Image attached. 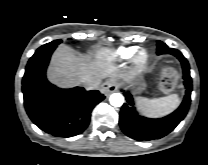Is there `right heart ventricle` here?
I'll return each instance as SVG.
<instances>
[{"label":"right heart ventricle","instance_id":"obj_1","mask_svg":"<svg viewBox=\"0 0 208 165\" xmlns=\"http://www.w3.org/2000/svg\"><path fill=\"white\" fill-rule=\"evenodd\" d=\"M135 49H119L116 51V55L120 58H127L135 53Z\"/></svg>","mask_w":208,"mask_h":165}]
</instances>
